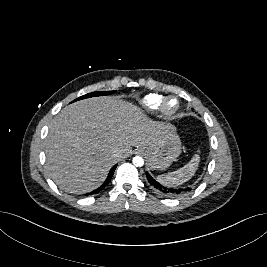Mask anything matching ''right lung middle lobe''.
<instances>
[{
    "label": "right lung middle lobe",
    "mask_w": 267,
    "mask_h": 267,
    "mask_svg": "<svg viewBox=\"0 0 267 267\" xmlns=\"http://www.w3.org/2000/svg\"><path fill=\"white\" fill-rule=\"evenodd\" d=\"M115 93V91H97V92H92L86 95H83L77 99H75L73 102L77 101V100H81V99H86V98H90V97H95V96H104V95H110Z\"/></svg>",
    "instance_id": "right-lung-middle-lobe-1"
}]
</instances>
